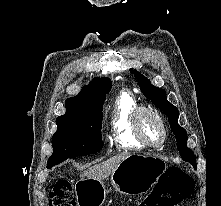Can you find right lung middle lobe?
Here are the masks:
<instances>
[{
  "mask_svg": "<svg viewBox=\"0 0 221 206\" xmlns=\"http://www.w3.org/2000/svg\"><path fill=\"white\" fill-rule=\"evenodd\" d=\"M102 107L90 111L66 113L56 119L57 131L52 138L53 154L47 167L64 160L98 152L103 147Z\"/></svg>",
  "mask_w": 221,
  "mask_h": 206,
  "instance_id": "dd1d6c3e",
  "label": "right lung middle lobe"
}]
</instances>
